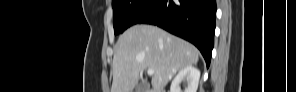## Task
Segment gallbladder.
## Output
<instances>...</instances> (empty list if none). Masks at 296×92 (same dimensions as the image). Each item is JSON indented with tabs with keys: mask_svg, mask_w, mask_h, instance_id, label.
Listing matches in <instances>:
<instances>
[{
	"mask_svg": "<svg viewBox=\"0 0 296 92\" xmlns=\"http://www.w3.org/2000/svg\"><path fill=\"white\" fill-rule=\"evenodd\" d=\"M148 86L146 83H140L136 86L135 90L136 92H146Z\"/></svg>",
	"mask_w": 296,
	"mask_h": 92,
	"instance_id": "1",
	"label": "gallbladder"
}]
</instances>
